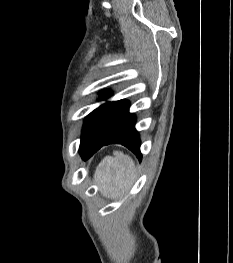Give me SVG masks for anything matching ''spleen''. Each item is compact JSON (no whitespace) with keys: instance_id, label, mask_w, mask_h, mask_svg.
<instances>
[{"instance_id":"1","label":"spleen","mask_w":233,"mask_h":263,"mask_svg":"<svg viewBox=\"0 0 233 263\" xmlns=\"http://www.w3.org/2000/svg\"><path fill=\"white\" fill-rule=\"evenodd\" d=\"M136 167L133 160L120 151H114L113 156H106L95 171V183L102 191L116 198L122 196L130 188Z\"/></svg>"}]
</instances>
